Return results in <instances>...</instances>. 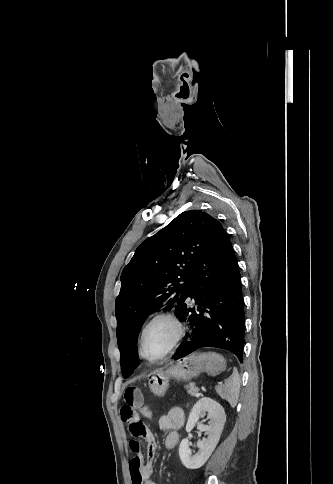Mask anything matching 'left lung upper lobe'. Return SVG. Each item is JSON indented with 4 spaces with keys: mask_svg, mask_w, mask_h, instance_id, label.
Segmentation results:
<instances>
[{
    "mask_svg": "<svg viewBox=\"0 0 333 484\" xmlns=\"http://www.w3.org/2000/svg\"><path fill=\"white\" fill-rule=\"evenodd\" d=\"M213 220L201 210L181 213L145 240L123 269L115 314L124 378L138 362L136 341L146 317L159 308L187 302L188 273Z\"/></svg>",
    "mask_w": 333,
    "mask_h": 484,
    "instance_id": "obj_1",
    "label": "left lung upper lobe"
}]
</instances>
